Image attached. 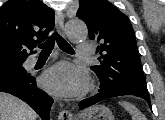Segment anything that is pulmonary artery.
<instances>
[{
	"instance_id": "e3ab8cb5",
	"label": "pulmonary artery",
	"mask_w": 165,
	"mask_h": 120,
	"mask_svg": "<svg viewBox=\"0 0 165 120\" xmlns=\"http://www.w3.org/2000/svg\"><path fill=\"white\" fill-rule=\"evenodd\" d=\"M94 47L90 42H82L78 45L77 54L80 56H89L93 53ZM36 62L35 58H31L28 60V65H34Z\"/></svg>"
}]
</instances>
